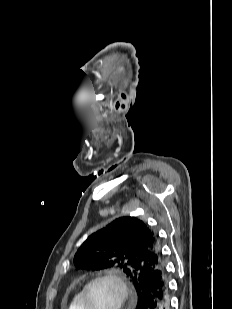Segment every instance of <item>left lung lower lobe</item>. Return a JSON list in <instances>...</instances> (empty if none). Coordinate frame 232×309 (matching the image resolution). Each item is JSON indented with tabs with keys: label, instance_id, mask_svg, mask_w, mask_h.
<instances>
[{
	"label": "left lung lower lobe",
	"instance_id": "left-lung-lower-lobe-1",
	"mask_svg": "<svg viewBox=\"0 0 232 309\" xmlns=\"http://www.w3.org/2000/svg\"><path fill=\"white\" fill-rule=\"evenodd\" d=\"M170 304L168 276L162 264L150 273L138 297L136 309H170Z\"/></svg>",
	"mask_w": 232,
	"mask_h": 309
}]
</instances>
